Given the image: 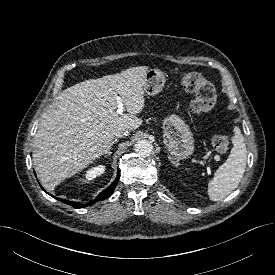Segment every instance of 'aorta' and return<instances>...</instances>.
Returning a JSON list of instances; mask_svg holds the SVG:
<instances>
[{
  "instance_id": "1",
  "label": "aorta",
  "mask_w": 275,
  "mask_h": 275,
  "mask_svg": "<svg viewBox=\"0 0 275 275\" xmlns=\"http://www.w3.org/2000/svg\"><path fill=\"white\" fill-rule=\"evenodd\" d=\"M134 150L138 155L146 157L153 152V145L149 140H139L134 145Z\"/></svg>"
}]
</instances>
